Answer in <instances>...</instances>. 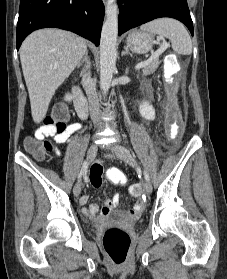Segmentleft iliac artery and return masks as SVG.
I'll return each mask as SVG.
<instances>
[{
  "instance_id": "44dca946",
  "label": "left iliac artery",
  "mask_w": 227,
  "mask_h": 279,
  "mask_svg": "<svg viewBox=\"0 0 227 279\" xmlns=\"http://www.w3.org/2000/svg\"><path fill=\"white\" fill-rule=\"evenodd\" d=\"M144 175H145V179H146L147 181H150L149 175H148V173H147L146 171H144Z\"/></svg>"
}]
</instances>
